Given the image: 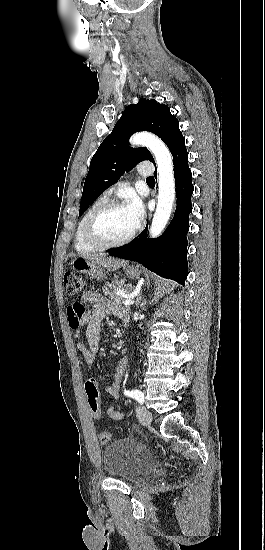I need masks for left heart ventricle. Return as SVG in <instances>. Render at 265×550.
I'll list each match as a JSON object with an SVG mask.
<instances>
[{"label": "left heart ventricle", "instance_id": "obj_1", "mask_svg": "<svg viewBox=\"0 0 265 550\" xmlns=\"http://www.w3.org/2000/svg\"><path fill=\"white\" fill-rule=\"evenodd\" d=\"M134 229L135 226L126 207L106 213L96 224L98 234L107 241L120 240Z\"/></svg>", "mask_w": 265, "mask_h": 550}]
</instances>
